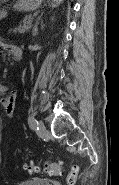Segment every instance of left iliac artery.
Masks as SVG:
<instances>
[{"mask_svg":"<svg viewBox=\"0 0 119 185\" xmlns=\"http://www.w3.org/2000/svg\"><path fill=\"white\" fill-rule=\"evenodd\" d=\"M28 124H29V127L32 129V130H35V129H38V121L36 120V118L34 116H29L28 118Z\"/></svg>","mask_w":119,"mask_h":185,"instance_id":"left-iliac-artery-1","label":"left iliac artery"}]
</instances>
